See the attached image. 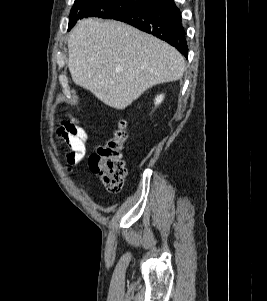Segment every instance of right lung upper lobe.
Returning <instances> with one entry per match:
<instances>
[{"label": "right lung upper lobe", "instance_id": "obj_1", "mask_svg": "<svg viewBox=\"0 0 267 301\" xmlns=\"http://www.w3.org/2000/svg\"><path fill=\"white\" fill-rule=\"evenodd\" d=\"M147 2V4H151V3H154V2H157V1H160V0H145Z\"/></svg>", "mask_w": 267, "mask_h": 301}]
</instances>
